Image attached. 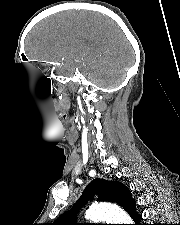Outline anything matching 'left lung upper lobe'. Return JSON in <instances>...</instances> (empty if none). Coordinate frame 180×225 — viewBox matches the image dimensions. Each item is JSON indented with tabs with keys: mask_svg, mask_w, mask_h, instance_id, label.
Returning a JSON list of instances; mask_svg holds the SVG:
<instances>
[{
	"mask_svg": "<svg viewBox=\"0 0 180 225\" xmlns=\"http://www.w3.org/2000/svg\"><path fill=\"white\" fill-rule=\"evenodd\" d=\"M95 194L98 201H109L122 206L129 214L135 210V202L130 190L117 181L103 179L93 180L83 191L80 199L69 211L62 214L50 225H79L76 224L77 213Z\"/></svg>",
	"mask_w": 180,
	"mask_h": 225,
	"instance_id": "left-lung-upper-lobe-1",
	"label": "left lung upper lobe"
}]
</instances>
